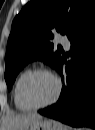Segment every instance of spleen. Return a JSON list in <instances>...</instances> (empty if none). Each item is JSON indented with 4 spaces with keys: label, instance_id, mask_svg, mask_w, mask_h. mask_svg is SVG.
<instances>
[{
    "label": "spleen",
    "instance_id": "obj_1",
    "mask_svg": "<svg viewBox=\"0 0 95 130\" xmlns=\"http://www.w3.org/2000/svg\"><path fill=\"white\" fill-rule=\"evenodd\" d=\"M63 130H69V129L65 127V128H63Z\"/></svg>",
    "mask_w": 95,
    "mask_h": 130
}]
</instances>
